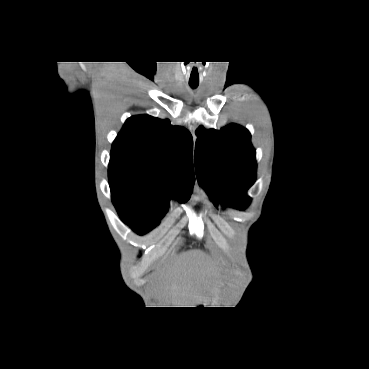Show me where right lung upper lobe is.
Listing matches in <instances>:
<instances>
[{"label": "right lung upper lobe", "instance_id": "right-lung-upper-lobe-1", "mask_svg": "<svg viewBox=\"0 0 369 369\" xmlns=\"http://www.w3.org/2000/svg\"><path fill=\"white\" fill-rule=\"evenodd\" d=\"M193 139L181 126L150 115L128 118L112 144L108 174L151 194L187 201L192 193Z\"/></svg>", "mask_w": 369, "mask_h": 369}]
</instances>
